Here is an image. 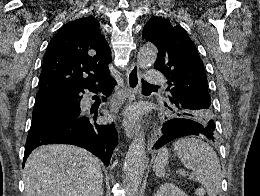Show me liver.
<instances>
[{
	"mask_svg": "<svg viewBox=\"0 0 260 196\" xmlns=\"http://www.w3.org/2000/svg\"><path fill=\"white\" fill-rule=\"evenodd\" d=\"M24 196H102L99 158L66 144L39 146L25 162Z\"/></svg>",
	"mask_w": 260,
	"mask_h": 196,
	"instance_id": "1",
	"label": "liver"
}]
</instances>
